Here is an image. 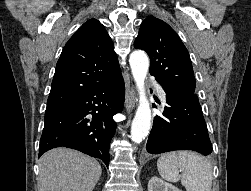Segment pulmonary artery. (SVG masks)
I'll list each match as a JSON object with an SVG mask.
<instances>
[{
  "label": "pulmonary artery",
  "instance_id": "e3ab8cb5",
  "mask_svg": "<svg viewBox=\"0 0 251 191\" xmlns=\"http://www.w3.org/2000/svg\"><path fill=\"white\" fill-rule=\"evenodd\" d=\"M153 85L155 84V89L157 90V92H158V94L160 95V97L162 98V99H164L165 98V93H164V91H163V89H162V87L158 84V83H152Z\"/></svg>",
  "mask_w": 251,
  "mask_h": 191
}]
</instances>
